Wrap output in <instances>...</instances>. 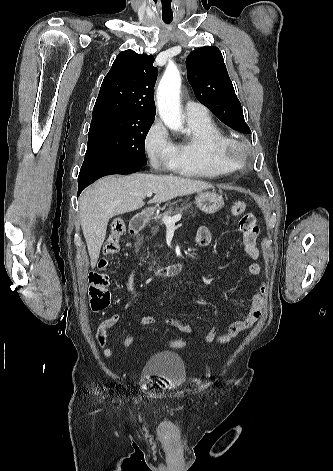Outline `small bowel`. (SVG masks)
Segmentation results:
<instances>
[{
	"mask_svg": "<svg viewBox=\"0 0 333 471\" xmlns=\"http://www.w3.org/2000/svg\"><path fill=\"white\" fill-rule=\"evenodd\" d=\"M239 231L243 234V244L246 254L252 259L259 258V250L256 244L258 236V227L252 215L244 216L239 223ZM195 241L198 246L205 247L211 242V233L205 226L198 228L195 236ZM248 273L252 276H257L261 273V267L258 263L253 262L248 266ZM126 288L131 293V298L126 305V308L133 306L140 298V292L137 290L135 284V271L132 270L126 280ZM267 287L265 284L261 285L252 296L248 312L246 315L230 324L228 330L224 334H218L216 327H211L203 338V343L210 344L213 341L219 343H227L234 339L238 334L250 328L260 318L264 305ZM120 319L118 314H114L109 319L105 320L98 328L96 333V340L99 346L103 349L106 357H111L114 353L113 349L107 346V332L108 329L114 326ZM164 323L173 326L177 331L183 334H190L192 327L189 322L181 318H165L162 320ZM158 320L150 315H144L141 318V323L145 326L153 325Z\"/></svg>",
	"mask_w": 333,
	"mask_h": 471,
	"instance_id": "1",
	"label": "small bowel"
}]
</instances>
